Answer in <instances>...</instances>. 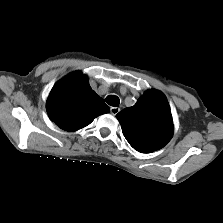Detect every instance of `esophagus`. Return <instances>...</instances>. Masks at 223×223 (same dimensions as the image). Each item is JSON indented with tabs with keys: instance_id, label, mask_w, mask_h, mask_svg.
Returning <instances> with one entry per match:
<instances>
[{
	"instance_id": "1",
	"label": "esophagus",
	"mask_w": 223,
	"mask_h": 223,
	"mask_svg": "<svg viewBox=\"0 0 223 223\" xmlns=\"http://www.w3.org/2000/svg\"><path fill=\"white\" fill-rule=\"evenodd\" d=\"M120 112V108L119 107H111L110 108V113L112 115H117Z\"/></svg>"
}]
</instances>
